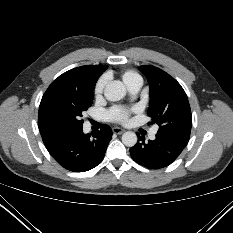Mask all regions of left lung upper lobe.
Returning <instances> with one entry per match:
<instances>
[{
	"mask_svg": "<svg viewBox=\"0 0 233 233\" xmlns=\"http://www.w3.org/2000/svg\"><path fill=\"white\" fill-rule=\"evenodd\" d=\"M150 86L148 116L160 127L157 134L189 140L192 115L187 95L181 85L163 70L141 66Z\"/></svg>",
	"mask_w": 233,
	"mask_h": 233,
	"instance_id": "left-lung-upper-lobe-1",
	"label": "left lung upper lobe"
}]
</instances>
